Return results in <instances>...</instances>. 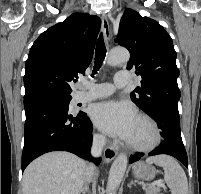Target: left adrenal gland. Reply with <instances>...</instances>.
Wrapping results in <instances>:
<instances>
[{
  "instance_id": "obj_1",
  "label": "left adrenal gland",
  "mask_w": 201,
  "mask_h": 194,
  "mask_svg": "<svg viewBox=\"0 0 201 194\" xmlns=\"http://www.w3.org/2000/svg\"><path fill=\"white\" fill-rule=\"evenodd\" d=\"M132 185H136L133 180H131L130 184H128V187L131 188Z\"/></svg>"
}]
</instances>
